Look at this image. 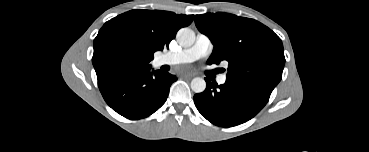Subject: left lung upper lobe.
<instances>
[{
  "mask_svg": "<svg viewBox=\"0 0 369 152\" xmlns=\"http://www.w3.org/2000/svg\"><path fill=\"white\" fill-rule=\"evenodd\" d=\"M198 30L214 45L208 64L228 61L227 80L274 89L285 64L281 39L260 22L229 13L195 16Z\"/></svg>",
  "mask_w": 369,
  "mask_h": 152,
  "instance_id": "1",
  "label": "left lung upper lobe"
}]
</instances>
